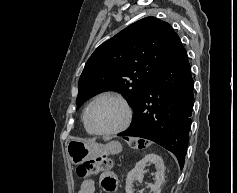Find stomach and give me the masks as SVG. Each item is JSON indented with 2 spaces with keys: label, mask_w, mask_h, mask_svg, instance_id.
<instances>
[{
  "label": "stomach",
  "mask_w": 237,
  "mask_h": 193,
  "mask_svg": "<svg viewBox=\"0 0 237 193\" xmlns=\"http://www.w3.org/2000/svg\"><path fill=\"white\" fill-rule=\"evenodd\" d=\"M67 155L72 164L79 165L86 160L101 155H114L122 151V145L118 141L107 144H98L92 141L70 140L66 147Z\"/></svg>",
  "instance_id": "obj_1"
}]
</instances>
